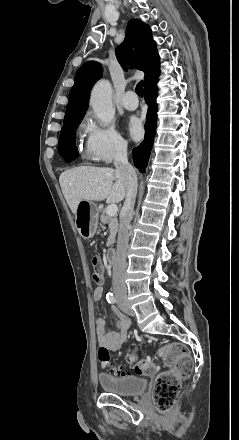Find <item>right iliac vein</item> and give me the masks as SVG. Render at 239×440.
<instances>
[{
	"instance_id": "right-iliac-vein-1",
	"label": "right iliac vein",
	"mask_w": 239,
	"mask_h": 440,
	"mask_svg": "<svg viewBox=\"0 0 239 440\" xmlns=\"http://www.w3.org/2000/svg\"><path fill=\"white\" fill-rule=\"evenodd\" d=\"M124 312L128 313L131 316H134V311L131 306L127 302H121Z\"/></svg>"
}]
</instances>
